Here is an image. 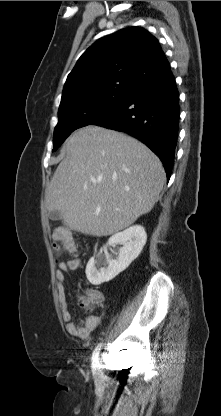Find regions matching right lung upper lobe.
Wrapping results in <instances>:
<instances>
[{
    "instance_id": "1",
    "label": "right lung upper lobe",
    "mask_w": 221,
    "mask_h": 416,
    "mask_svg": "<svg viewBox=\"0 0 221 416\" xmlns=\"http://www.w3.org/2000/svg\"><path fill=\"white\" fill-rule=\"evenodd\" d=\"M169 63L158 40L131 27L100 38L78 59L64 85L61 104L108 88L135 90L166 78Z\"/></svg>"
}]
</instances>
